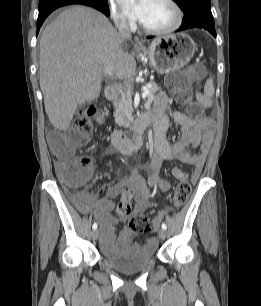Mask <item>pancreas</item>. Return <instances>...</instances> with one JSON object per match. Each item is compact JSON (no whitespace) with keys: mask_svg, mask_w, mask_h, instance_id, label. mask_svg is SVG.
I'll list each match as a JSON object with an SVG mask.
<instances>
[{"mask_svg":"<svg viewBox=\"0 0 261 306\" xmlns=\"http://www.w3.org/2000/svg\"><path fill=\"white\" fill-rule=\"evenodd\" d=\"M149 96H153L159 90L155 82H149ZM129 89L123 90L119 93L117 100L114 103V117L116 123L121 127H129L132 122V94L128 92Z\"/></svg>","mask_w":261,"mask_h":306,"instance_id":"cf45deb5","label":"pancreas"}]
</instances>
